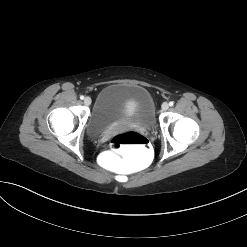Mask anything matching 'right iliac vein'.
<instances>
[{
    "mask_svg": "<svg viewBox=\"0 0 247 247\" xmlns=\"http://www.w3.org/2000/svg\"><path fill=\"white\" fill-rule=\"evenodd\" d=\"M84 104H85L86 106H89V105L91 104V98H90V97H86V98L84 99Z\"/></svg>",
    "mask_w": 247,
    "mask_h": 247,
    "instance_id": "1",
    "label": "right iliac vein"
}]
</instances>
